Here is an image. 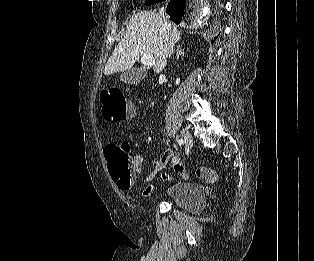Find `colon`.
I'll list each match as a JSON object with an SVG mask.
<instances>
[{"label": "colon", "instance_id": "1", "mask_svg": "<svg viewBox=\"0 0 314 261\" xmlns=\"http://www.w3.org/2000/svg\"><path fill=\"white\" fill-rule=\"evenodd\" d=\"M102 115L107 122L117 123L132 115V107L119 88H108L100 94ZM108 173L113 181L123 189H128L133 183V162L130 157V145L124 142L120 145L111 144L104 148ZM199 179L212 183L218 179L217 173L211 168L200 166L196 169Z\"/></svg>", "mask_w": 314, "mask_h": 261}]
</instances>
